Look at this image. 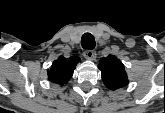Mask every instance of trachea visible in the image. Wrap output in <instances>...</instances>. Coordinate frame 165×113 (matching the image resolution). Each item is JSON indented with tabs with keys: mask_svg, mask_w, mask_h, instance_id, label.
<instances>
[{
	"mask_svg": "<svg viewBox=\"0 0 165 113\" xmlns=\"http://www.w3.org/2000/svg\"><path fill=\"white\" fill-rule=\"evenodd\" d=\"M81 45L84 49H94L95 47V39L92 34L85 33L81 39Z\"/></svg>",
	"mask_w": 165,
	"mask_h": 113,
	"instance_id": "trachea-1",
	"label": "trachea"
}]
</instances>
